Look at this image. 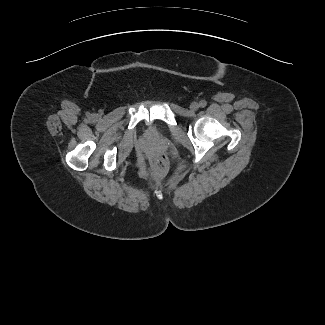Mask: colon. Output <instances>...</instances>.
<instances>
[{
    "mask_svg": "<svg viewBox=\"0 0 325 325\" xmlns=\"http://www.w3.org/2000/svg\"><path fill=\"white\" fill-rule=\"evenodd\" d=\"M154 178L162 177L168 169L167 157L163 154H157L152 159Z\"/></svg>",
    "mask_w": 325,
    "mask_h": 325,
    "instance_id": "5ec220e1",
    "label": "colon"
}]
</instances>
